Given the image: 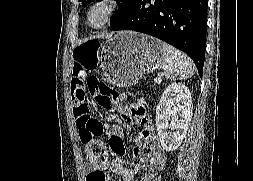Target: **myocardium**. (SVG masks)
<instances>
[{"label": "myocardium", "mask_w": 253, "mask_h": 181, "mask_svg": "<svg viewBox=\"0 0 253 181\" xmlns=\"http://www.w3.org/2000/svg\"><path fill=\"white\" fill-rule=\"evenodd\" d=\"M120 8L119 0H92L85 11L86 25L93 30L103 29L114 19ZM96 10L102 12V18L98 23H93L91 17Z\"/></svg>", "instance_id": "f54148a6"}]
</instances>
